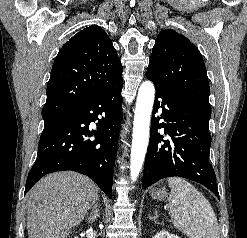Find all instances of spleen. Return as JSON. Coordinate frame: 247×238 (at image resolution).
<instances>
[{"mask_svg":"<svg viewBox=\"0 0 247 238\" xmlns=\"http://www.w3.org/2000/svg\"><path fill=\"white\" fill-rule=\"evenodd\" d=\"M170 215L174 226L189 238H220L219 226L209 201L180 177L168 179Z\"/></svg>","mask_w":247,"mask_h":238,"instance_id":"spleen-1","label":"spleen"}]
</instances>
